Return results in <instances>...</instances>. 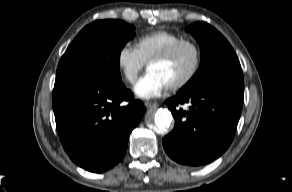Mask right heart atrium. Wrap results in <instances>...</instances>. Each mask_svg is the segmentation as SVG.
I'll return each instance as SVG.
<instances>
[{
  "label": "right heart atrium",
  "instance_id": "1",
  "mask_svg": "<svg viewBox=\"0 0 292 192\" xmlns=\"http://www.w3.org/2000/svg\"><path fill=\"white\" fill-rule=\"evenodd\" d=\"M116 63L121 75L130 84L136 82L145 65L136 47L130 44H124L118 50Z\"/></svg>",
  "mask_w": 292,
  "mask_h": 192
}]
</instances>
